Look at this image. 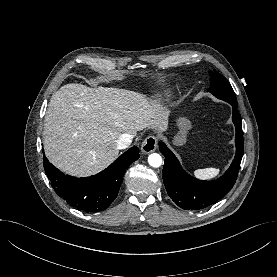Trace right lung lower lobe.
Instances as JSON below:
<instances>
[{
  "label": "right lung lower lobe",
  "instance_id": "98d812e1",
  "mask_svg": "<svg viewBox=\"0 0 277 277\" xmlns=\"http://www.w3.org/2000/svg\"><path fill=\"white\" fill-rule=\"evenodd\" d=\"M139 156V148L134 146L107 169L85 178L64 175L46 157L43 164L53 188L68 204L84 212H99L107 209L117 197L125 170Z\"/></svg>",
  "mask_w": 277,
  "mask_h": 277
}]
</instances>
